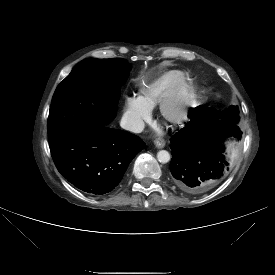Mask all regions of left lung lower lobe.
<instances>
[{"label":"left lung lower lobe","instance_id":"left-lung-lower-lobe-1","mask_svg":"<svg viewBox=\"0 0 275 275\" xmlns=\"http://www.w3.org/2000/svg\"><path fill=\"white\" fill-rule=\"evenodd\" d=\"M171 138V179L183 192L197 194L220 182L228 170L224 143L241 139L242 132L231 122L216 116L194 118Z\"/></svg>","mask_w":275,"mask_h":275}]
</instances>
